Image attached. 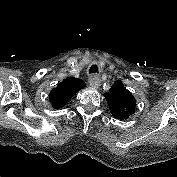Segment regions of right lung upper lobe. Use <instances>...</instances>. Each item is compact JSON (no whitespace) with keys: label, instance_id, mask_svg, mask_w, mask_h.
I'll return each instance as SVG.
<instances>
[{"label":"right lung upper lobe","instance_id":"1","mask_svg":"<svg viewBox=\"0 0 177 177\" xmlns=\"http://www.w3.org/2000/svg\"><path fill=\"white\" fill-rule=\"evenodd\" d=\"M84 87V83L73 77H68L63 82L53 88L50 92L49 99L53 107L61 108L76 92Z\"/></svg>","mask_w":177,"mask_h":177}]
</instances>
